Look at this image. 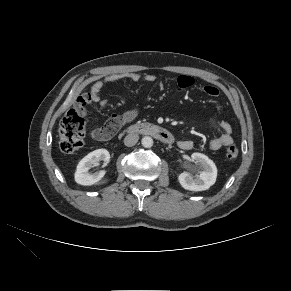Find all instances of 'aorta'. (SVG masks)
<instances>
[{
  "label": "aorta",
  "mask_w": 291,
  "mask_h": 291,
  "mask_svg": "<svg viewBox=\"0 0 291 291\" xmlns=\"http://www.w3.org/2000/svg\"><path fill=\"white\" fill-rule=\"evenodd\" d=\"M141 143L143 147L150 148L153 146V139L150 136H145L142 138Z\"/></svg>",
  "instance_id": "obj_1"
}]
</instances>
